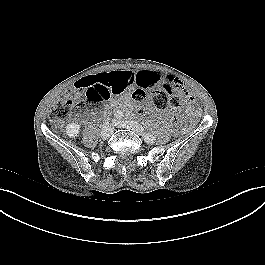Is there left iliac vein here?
<instances>
[{
	"label": "left iliac vein",
	"instance_id": "obj_1",
	"mask_svg": "<svg viewBox=\"0 0 265 265\" xmlns=\"http://www.w3.org/2000/svg\"><path fill=\"white\" fill-rule=\"evenodd\" d=\"M114 125L117 128H127V129H130V130H133L134 132H136L137 134H139L141 136H144L145 135L142 126L140 124H138L137 122H135V121H123V120H119V121L115 122ZM144 140L147 143H149V144H153L155 142V138H153L151 140H147V139H144Z\"/></svg>",
	"mask_w": 265,
	"mask_h": 265
}]
</instances>
